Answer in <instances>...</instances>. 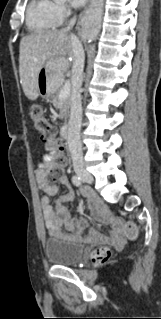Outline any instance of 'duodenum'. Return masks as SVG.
Wrapping results in <instances>:
<instances>
[{"label": "duodenum", "mask_w": 161, "mask_h": 319, "mask_svg": "<svg viewBox=\"0 0 161 319\" xmlns=\"http://www.w3.org/2000/svg\"><path fill=\"white\" fill-rule=\"evenodd\" d=\"M61 135L64 142H67L70 137V126L68 123H64L61 127Z\"/></svg>", "instance_id": "1"}]
</instances>
